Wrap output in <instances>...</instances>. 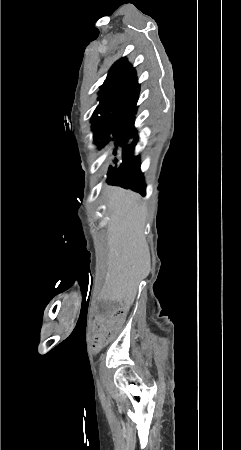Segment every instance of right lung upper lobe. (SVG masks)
Here are the masks:
<instances>
[{"label": "right lung upper lobe", "mask_w": 241, "mask_h": 450, "mask_svg": "<svg viewBox=\"0 0 241 450\" xmlns=\"http://www.w3.org/2000/svg\"><path fill=\"white\" fill-rule=\"evenodd\" d=\"M103 85L112 88L120 99L138 101L140 85L137 82V74L125 57L111 67Z\"/></svg>", "instance_id": "cb5924a9"}]
</instances>
